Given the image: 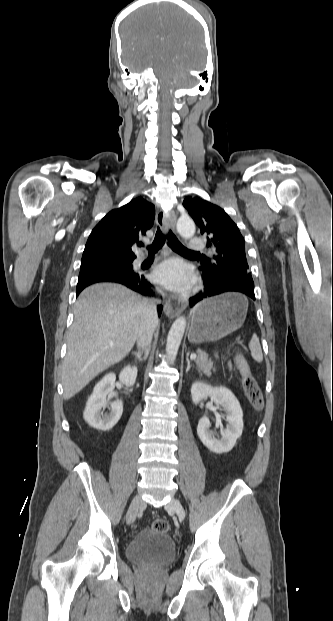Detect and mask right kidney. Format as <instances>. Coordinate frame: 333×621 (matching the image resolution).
<instances>
[{"label":"right kidney","mask_w":333,"mask_h":621,"mask_svg":"<svg viewBox=\"0 0 333 621\" xmlns=\"http://www.w3.org/2000/svg\"><path fill=\"white\" fill-rule=\"evenodd\" d=\"M137 367L128 365L119 375V380L127 387L135 383ZM116 376L114 373L105 375L94 387L92 395L88 398L83 413L84 420L93 428L101 431L111 430L121 418L123 402L115 400L109 402L107 395L114 390ZM108 407L109 414H101V409Z\"/></svg>","instance_id":"ca27d5eb"}]
</instances>
